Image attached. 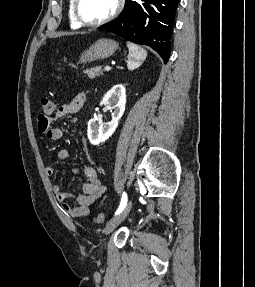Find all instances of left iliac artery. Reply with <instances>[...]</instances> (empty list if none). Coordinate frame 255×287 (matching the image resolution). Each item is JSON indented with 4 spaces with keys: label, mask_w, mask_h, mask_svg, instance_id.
<instances>
[{
    "label": "left iliac artery",
    "mask_w": 255,
    "mask_h": 287,
    "mask_svg": "<svg viewBox=\"0 0 255 287\" xmlns=\"http://www.w3.org/2000/svg\"><path fill=\"white\" fill-rule=\"evenodd\" d=\"M126 203H127V194L125 192H123L122 198H121V202H120V206L117 209L115 215L119 214L125 208Z\"/></svg>",
    "instance_id": "1"
}]
</instances>
